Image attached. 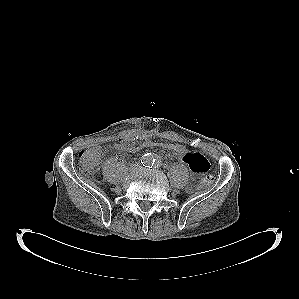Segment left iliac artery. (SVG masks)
Instances as JSON below:
<instances>
[{"instance_id": "44dca946", "label": "left iliac artery", "mask_w": 299, "mask_h": 299, "mask_svg": "<svg viewBox=\"0 0 299 299\" xmlns=\"http://www.w3.org/2000/svg\"><path fill=\"white\" fill-rule=\"evenodd\" d=\"M158 164H159V161L156 162V165H158Z\"/></svg>"}]
</instances>
